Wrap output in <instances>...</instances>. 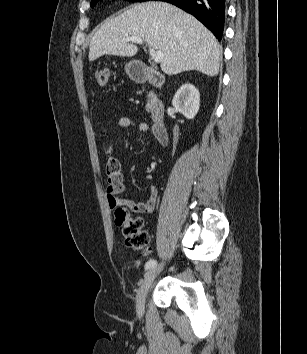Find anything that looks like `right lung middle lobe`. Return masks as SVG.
I'll use <instances>...</instances> for the list:
<instances>
[{"instance_id": "obj_1", "label": "right lung middle lobe", "mask_w": 307, "mask_h": 354, "mask_svg": "<svg viewBox=\"0 0 307 354\" xmlns=\"http://www.w3.org/2000/svg\"><path fill=\"white\" fill-rule=\"evenodd\" d=\"M98 1L99 0H91V7H94ZM128 1L142 2V1H148V0H128Z\"/></svg>"}]
</instances>
